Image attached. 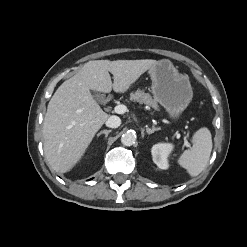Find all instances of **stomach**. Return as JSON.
Segmentation results:
<instances>
[{
	"label": "stomach",
	"mask_w": 247,
	"mask_h": 247,
	"mask_svg": "<svg viewBox=\"0 0 247 247\" xmlns=\"http://www.w3.org/2000/svg\"><path fill=\"white\" fill-rule=\"evenodd\" d=\"M149 74L155 100L164 107L171 119H179L193 97L188 76L179 73L172 62L166 59L157 61L149 69Z\"/></svg>",
	"instance_id": "0dacf381"
}]
</instances>
